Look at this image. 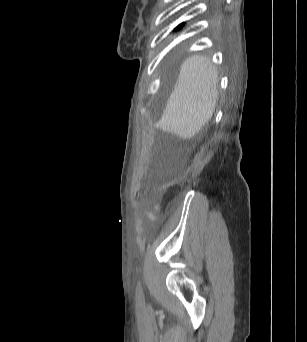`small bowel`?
Listing matches in <instances>:
<instances>
[{
	"label": "small bowel",
	"instance_id": "small-bowel-1",
	"mask_svg": "<svg viewBox=\"0 0 307 342\" xmlns=\"http://www.w3.org/2000/svg\"><path fill=\"white\" fill-rule=\"evenodd\" d=\"M147 215L149 218L153 219V215L149 211H147Z\"/></svg>",
	"mask_w": 307,
	"mask_h": 342
}]
</instances>
